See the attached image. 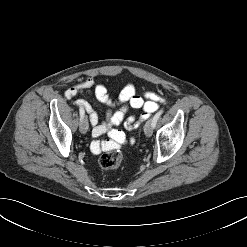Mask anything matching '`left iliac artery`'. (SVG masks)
Segmentation results:
<instances>
[{"instance_id":"left-iliac-artery-1","label":"left iliac artery","mask_w":247,"mask_h":247,"mask_svg":"<svg viewBox=\"0 0 247 247\" xmlns=\"http://www.w3.org/2000/svg\"><path fill=\"white\" fill-rule=\"evenodd\" d=\"M163 113V109H161L159 112H157L153 117V128L155 127L157 120L160 118V116Z\"/></svg>"}]
</instances>
